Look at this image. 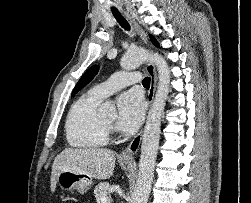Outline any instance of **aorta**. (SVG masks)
I'll list each match as a JSON object with an SVG mask.
<instances>
[{
  "mask_svg": "<svg viewBox=\"0 0 251 203\" xmlns=\"http://www.w3.org/2000/svg\"><path fill=\"white\" fill-rule=\"evenodd\" d=\"M147 59L155 63L159 81L143 131L139 172L130 203H147L148 201L159 146L161 118L170 90V70L165 59L158 53H149L140 48L133 49L122 57L120 65L124 69H134ZM113 110L114 107L104 104L101 113L109 114Z\"/></svg>",
  "mask_w": 251,
  "mask_h": 203,
  "instance_id": "obj_1",
  "label": "aorta"
}]
</instances>
